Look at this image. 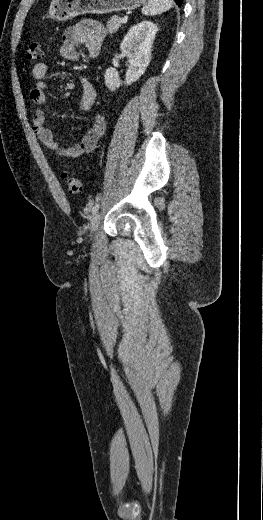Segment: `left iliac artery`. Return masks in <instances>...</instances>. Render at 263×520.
<instances>
[{"instance_id": "obj_1", "label": "left iliac artery", "mask_w": 263, "mask_h": 520, "mask_svg": "<svg viewBox=\"0 0 263 520\" xmlns=\"http://www.w3.org/2000/svg\"><path fill=\"white\" fill-rule=\"evenodd\" d=\"M99 209V203H96L93 207H92V214L94 215Z\"/></svg>"}]
</instances>
